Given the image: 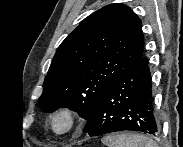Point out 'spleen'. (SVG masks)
<instances>
[{"mask_svg":"<svg viewBox=\"0 0 183 147\" xmlns=\"http://www.w3.org/2000/svg\"><path fill=\"white\" fill-rule=\"evenodd\" d=\"M107 147H158L152 139L136 133H115L103 137Z\"/></svg>","mask_w":183,"mask_h":147,"instance_id":"obj_1","label":"spleen"}]
</instances>
